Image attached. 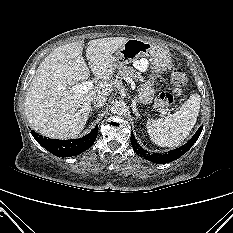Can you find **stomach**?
Masks as SVG:
<instances>
[{"label":"stomach","mask_w":233,"mask_h":233,"mask_svg":"<svg viewBox=\"0 0 233 233\" xmlns=\"http://www.w3.org/2000/svg\"><path fill=\"white\" fill-rule=\"evenodd\" d=\"M143 56L150 58L151 69L155 72L166 69L171 62L169 52L163 47L142 39L130 38L114 54L115 68H121ZM153 84V78L141 84L137 94L140 104L152 102L155 92Z\"/></svg>","instance_id":"0dacf381"}]
</instances>
